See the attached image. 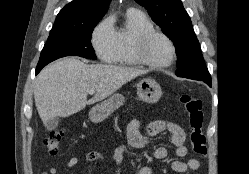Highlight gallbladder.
Here are the masks:
<instances>
[{"label": "gallbladder", "instance_id": "obj_1", "mask_svg": "<svg viewBox=\"0 0 249 174\" xmlns=\"http://www.w3.org/2000/svg\"><path fill=\"white\" fill-rule=\"evenodd\" d=\"M58 123V118H51L45 123V127L48 131H51L58 126Z\"/></svg>", "mask_w": 249, "mask_h": 174}]
</instances>
